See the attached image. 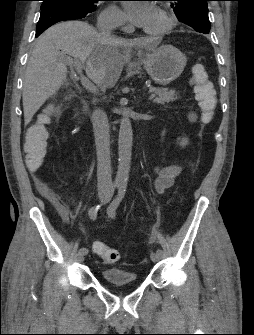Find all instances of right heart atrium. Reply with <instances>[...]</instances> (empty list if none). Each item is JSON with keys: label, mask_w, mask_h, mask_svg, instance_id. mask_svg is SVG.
<instances>
[{"label": "right heart atrium", "mask_w": 254, "mask_h": 335, "mask_svg": "<svg viewBox=\"0 0 254 335\" xmlns=\"http://www.w3.org/2000/svg\"><path fill=\"white\" fill-rule=\"evenodd\" d=\"M98 22L101 24H116L119 27L125 28V17L123 12L115 5H110L105 8L98 17Z\"/></svg>", "instance_id": "right-heart-atrium-1"}]
</instances>
